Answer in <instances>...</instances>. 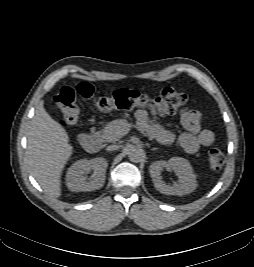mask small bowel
Returning a JSON list of instances; mask_svg holds the SVG:
<instances>
[{"mask_svg":"<svg viewBox=\"0 0 254 267\" xmlns=\"http://www.w3.org/2000/svg\"><path fill=\"white\" fill-rule=\"evenodd\" d=\"M139 124L146 129L147 134L163 144H170L177 140L183 149L189 153H196L201 146H209L214 142V133L201 126V113L196 110L184 109L179 119L186 132L176 135L162 126L150 123L145 111L136 113Z\"/></svg>","mask_w":254,"mask_h":267,"instance_id":"c3829d8e","label":"small bowel"}]
</instances>
